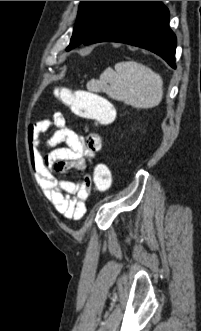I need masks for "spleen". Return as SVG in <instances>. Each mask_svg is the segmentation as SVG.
Returning a JSON list of instances; mask_svg holds the SVG:
<instances>
[{
  "mask_svg": "<svg viewBox=\"0 0 201 331\" xmlns=\"http://www.w3.org/2000/svg\"><path fill=\"white\" fill-rule=\"evenodd\" d=\"M114 68L100 75L97 90L137 109L153 108L161 102L163 81L159 74L134 61L119 62Z\"/></svg>",
  "mask_w": 201,
  "mask_h": 331,
  "instance_id": "spleen-1",
  "label": "spleen"
}]
</instances>
